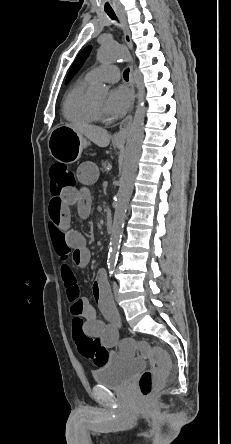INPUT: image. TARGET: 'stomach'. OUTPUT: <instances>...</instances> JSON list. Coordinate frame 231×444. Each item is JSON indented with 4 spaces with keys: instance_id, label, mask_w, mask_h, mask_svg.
I'll list each match as a JSON object with an SVG mask.
<instances>
[{
    "instance_id": "0dacf381",
    "label": "stomach",
    "mask_w": 231,
    "mask_h": 444,
    "mask_svg": "<svg viewBox=\"0 0 231 444\" xmlns=\"http://www.w3.org/2000/svg\"><path fill=\"white\" fill-rule=\"evenodd\" d=\"M89 142L67 126L55 127L48 139V148L52 157L65 164L76 162ZM118 148L122 144L115 145Z\"/></svg>"
}]
</instances>
